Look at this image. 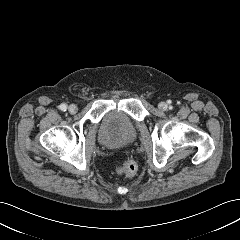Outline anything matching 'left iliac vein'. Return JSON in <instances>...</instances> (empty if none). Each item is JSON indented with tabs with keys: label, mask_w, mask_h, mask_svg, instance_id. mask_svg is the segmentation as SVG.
I'll use <instances>...</instances> for the list:
<instances>
[{
	"label": "left iliac vein",
	"mask_w": 240,
	"mask_h": 240,
	"mask_svg": "<svg viewBox=\"0 0 240 240\" xmlns=\"http://www.w3.org/2000/svg\"><path fill=\"white\" fill-rule=\"evenodd\" d=\"M158 107H159V109L160 110H166L167 109V104L165 103V102H160L159 104H158Z\"/></svg>",
	"instance_id": "4c4485c4"
}]
</instances>
